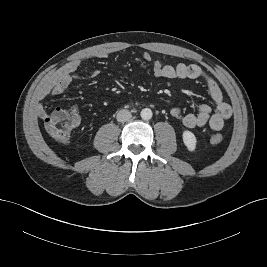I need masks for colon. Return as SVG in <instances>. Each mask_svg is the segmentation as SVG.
Wrapping results in <instances>:
<instances>
[{"mask_svg":"<svg viewBox=\"0 0 267 267\" xmlns=\"http://www.w3.org/2000/svg\"><path fill=\"white\" fill-rule=\"evenodd\" d=\"M79 121L80 117L77 112L64 109H56L44 119L45 128L49 135L62 143L69 140ZM210 140L214 144H219L222 142L223 137L221 134L216 133L211 136Z\"/></svg>","mask_w":267,"mask_h":267,"instance_id":"1","label":"colon"}]
</instances>
